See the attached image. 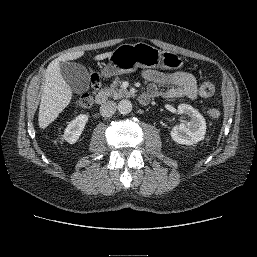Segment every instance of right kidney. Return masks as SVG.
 Segmentation results:
<instances>
[{
  "label": "right kidney",
  "mask_w": 257,
  "mask_h": 257,
  "mask_svg": "<svg viewBox=\"0 0 257 257\" xmlns=\"http://www.w3.org/2000/svg\"><path fill=\"white\" fill-rule=\"evenodd\" d=\"M88 121V116L81 114L71 121L66 127L62 139L70 144H74L82 134Z\"/></svg>",
  "instance_id": "right-kidney-1"
}]
</instances>
